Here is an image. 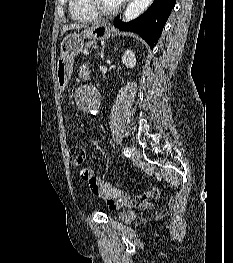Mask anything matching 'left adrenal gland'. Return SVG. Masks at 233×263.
I'll return each instance as SVG.
<instances>
[{"label": "left adrenal gland", "instance_id": "a2214340", "mask_svg": "<svg viewBox=\"0 0 233 263\" xmlns=\"http://www.w3.org/2000/svg\"><path fill=\"white\" fill-rule=\"evenodd\" d=\"M104 48H105V46L102 47L101 52L99 53V55H100V57H101L102 59H103V57H104Z\"/></svg>", "mask_w": 233, "mask_h": 263}]
</instances>
